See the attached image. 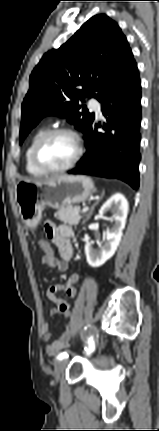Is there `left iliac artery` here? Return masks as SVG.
Returning <instances> with one entry per match:
<instances>
[{
  "label": "left iliac artery",
  "mask_w": 159,
  "mask_h": 431,
  "mask_svg": "<svg viewBox=\"0 0 159 431\" xmlns=\"http://www.w3.org/2000/svg\"><path fill=\"white\" fill-rule=\"evenodd\" d=\"M95 349V343L92 337L89 338L88 340V348L86 349L87 354H90L91 352H93ZM65 358H68V354L67 353H61L58 355L57 359L58 360H63Z\"/></svg>",
  "instance_id": "44dca946"
}]
</instances>
